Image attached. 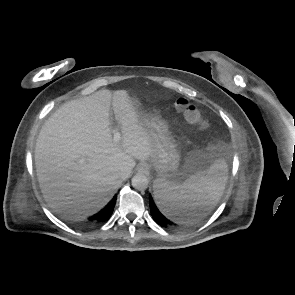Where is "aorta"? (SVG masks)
Masks as SVG:
<instances>
[{
    "instance_id": "762f6f07",
    "label": "aorta",
    "mask_w": 295,
    "mask_h": 295,
    "mask_svg": "<svg viewBox=\"0 0 295 295\" xmlns=\"http://www.w3.org/2000/svg\"><path fill=\"white\" fill-rule=\"evenodd\" d=\"M132 186L137 190H145L148 187V178L142 174L137 173L132 177Z\"/></svg>"
}]
</instances>
